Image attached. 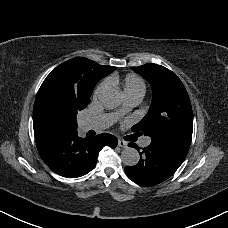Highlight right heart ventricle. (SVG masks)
Here are the masks:
<instances>
[{"label":"right heart ventricle","instance_id":"1","mask_svg":"<svg viewBox=\"0 0 228 228\" xmlns=\"http://www.w3.org/2000/svg\"><path fill=\"white\" fill-rule=\"evenodd\" d=\"M106 82L110 88L109 90L116 92L119 96L121 94L126 98L130 95H140L142 98L146 89L144 80L133 73L125 76L113 73L106 77Z\"/></svg>","mask_w":228,"mask_h":228}]
</instances>
